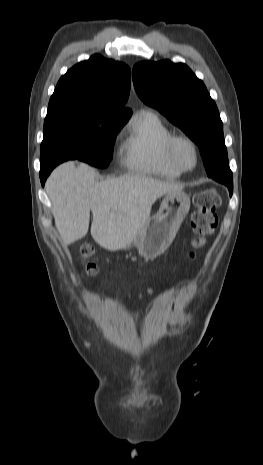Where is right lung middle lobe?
<instances>
[{
  "instance_id": "1",
  "label": "right lung middle lobe",
  "mask_w": 263,
  "mask_h": 465,
  "mask_svg": "<svg viewBox=\"0 0 263 465\" xmlns=\"http://www.w3.org/2000/svg\"><path fill=\"white\" fill-rule=\"evenodd\" d=\"M130 115L79 106L48 108L41 143V168L78 159L106 168L112 159L117 133Z\"/></svg>"
}]
</instances>
